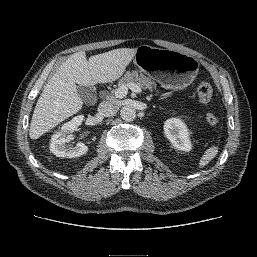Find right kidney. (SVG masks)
<instances>
[{
  "instance_id": "ca27d5eb",
  "label": "right kidney",
  "mask_w": 257,
  "mask_h": 257,
  "mask_svg": "<svg viewBox=\"0 0 257 257\" xmlns=\"http://www.w3.org/2000/svg\"><path fill=\"white\" fill-rule=\"evenodd\" d=\"M84 116L79 115L71 121L62 125L61 130L56 132L51 138L50 151L57 157L74 158L84 155L88 147L84 143H77L75 147L68 146L72 139L70 132L75 131L81 125Z\"/></svg>"
}]
</instances>
